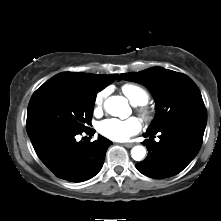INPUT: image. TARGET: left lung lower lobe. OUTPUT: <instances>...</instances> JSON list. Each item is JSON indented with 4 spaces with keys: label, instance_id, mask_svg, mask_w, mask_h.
Returning a JSON list of instances; mask_svg holds the SVG:
<instances>
[{
    "label": "left lung lower lobe",
    "instance_id": "left-lung-lower-lobe-1",
    "mask_svg": "<svg viewBox=\"0 0 221 221\" xmlns=\"http://www.w3.org/2000/svg\"><path fill=\"white\" fill-rule=\"evenodd\" d=\"M207 117L195 116L176 120L156 132H146L145 137L159 133V142L146 139L148 156L136 164L142 174L150 178H168L181 172L199 152Z\"/></svg>",
    "mask_w": 221,
    "mask_h": 221
}]
</instances>
